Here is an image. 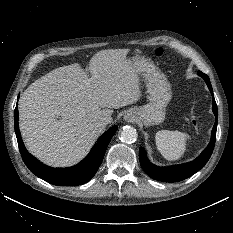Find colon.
Wrapping results in <instances>:
<instances>
[{"label": "colon", "instance_id": "colon-1", "mask_svg": "<svg viewBox=\"0 0 233 233\" xmlns=\"http://www.w3.org/2000/svg\"><path fill=\"white\" fill-rule=\"evenodd\" d=\"M154 54H155L157 57H162L163 54H164V51H163V49H161V48H157V49L155 50ZM191 123H192V125H193L195 128L198 126V120H197L194 116L191 117Z\"/></svg>", "mask_w": 233, "mask_h": 233}]
</instances>
